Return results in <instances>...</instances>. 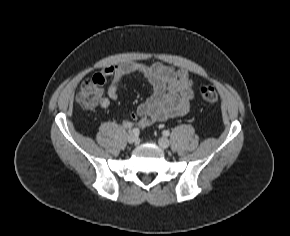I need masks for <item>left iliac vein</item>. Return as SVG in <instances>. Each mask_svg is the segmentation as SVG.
Masks as SVG:
<instances>
[{"mask_svg":"<svg viewBox=\"0 0 290 236\" xmlns=\"http://www.w3.org/2000/svg\"><path fill=\"white\" fill-rule=\"evenodd\" d=\"M158 144L162 147V148H168L170 145V142L167 138L165 137H161L158 139Z\"/></svg>","mask_w":290,"mask_h":236,"instance_id":"obj_1","label":"left iliac vein"}]
</instances>
